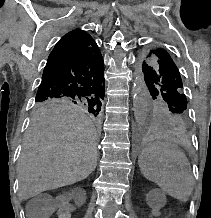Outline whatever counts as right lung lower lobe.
<instances>
[{"label":"right lung lower lobe","instance_id":"1","mask_svg":"<svg viewBox=\"0 0 211 218\" xmlns=\"http://www.w3.org/2000/svg\"><path fill=\"white\" fill-rule=\"evenodd\" d=\"M104 82V62L99 53L45 70L36 98H92L101 101L105 95Z\"/></svg>","mask_w":211,"mask_h":218}]
</instances>
